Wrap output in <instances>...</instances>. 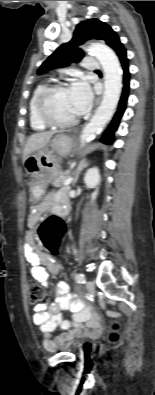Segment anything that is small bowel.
Returning a JSON list of instances; mask_svg holds the SVG:
<instances>
[{"label":"small bowel","instance_id":"1","mask_svg":"<svg viewBox=\"0 0 155 395\" xmlns=\"http://www.w3.org/2000/svg\"><path fill=\"white\" fill-rule=\"evenodd\" d=\"M62 209H67L64 190L54 191L32 212L30 223L35 224L49 214L60 215ZM25 259L31 266V276L41 286L47 287L49 276L59 271L56 260L32 244L30 238L24 248ZM56 300L49 306L44 303L34 307L33 323L39 327L43 346L46 350H54L60 345L74 339L96 335L101 330L100 316L86 307L77 296L69 294V286L61 281L56 287ZM73 312V319H65L62 311ZM60 327L62 332L52 337V332Z\"/></svg>","mask_w":155,"mask_h":395}]
</instances>
